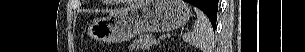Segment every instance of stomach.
<instances>
[{
  "instance_id": "obj_1",
  "label": "stomach",
  "mask_w": 305,
  "mask_h": 52,
  "mask_svg": "<svg viewBox=\"0 0 305 52\" xmlns=\"http://www.w3.org/2000/svg\"><path fill=\"white\" fill-rule=\"evenodd\" d=\"M189 18L190 7L183 0H146L92 23L87 34L95 41L116 43L140 33L178 29Z\"/></svg>"
}]
</instances>
